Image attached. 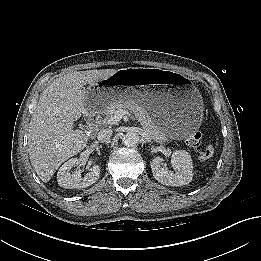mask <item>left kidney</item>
<instances>
[{
    "label": "left kidney",
    "mask_w": 261,
    "mask_h": 261,
    "mask_svg": "<svg viewBox=\"0 0 261 261\" xmlns=\"http://www.w3.org/2000/svg\"><path fill=\"white\" fill-rule=\"evenodd\" d=\"M171 164L175 172H171L163 165V158L155 157L150 162L154 178L166 186H183L192 181L193 163L191 155L185 150H176L172 153Z\"/></svg>",
    "instance_id": "5707ae66"
}]
</instances>
